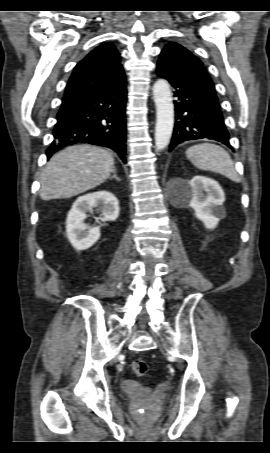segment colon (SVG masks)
I'll return each mask as SVG.
<instances>
[{"label": "colon", "instance_id": "5ec220e1", "mask_svg": "<svg viewBox=\"0 0 270 453\" xmlns=\"http://www.w3.org/2000/svg\"><path fill=\"white\" fill-rule=\"evenodd\" d=\"M132 370L136 376H145L149 370L148 364L142 359H137L132 363Z\"/></svg>", "mask_w": 270, "mask_h": 453}]
</instances>
